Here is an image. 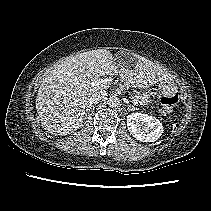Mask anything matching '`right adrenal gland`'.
Segmentation results:
<instances>
[{
  "mask_svg": "<svg viewBox=\"0 0 211 211\" xmlns=\"http://www.w3.org/2000/svg\"><path fill=\"white\" fill-rule=\"evenodd\" d=\"M92 108H94V105H88V106L86 107V110H85V115H86V116L89 114V112H90V110H91Z\"/></svg>",
  "mask_w": 211,
  "mask_h": 211,
  "instance_id": "right-adrenal-gland-1",
  "label": "right adrenal gland"
}]
</instances>
